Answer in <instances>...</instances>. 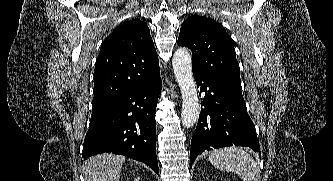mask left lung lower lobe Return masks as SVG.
I'll return each mask as SVG.
<instances>
[{
	"label": "left lung lower lobe",
	"mask_w": 333,
	"mask_h": 181,
	"mask_svg": "<svg viewBox=\"0 0 333 181\" xmlns=\"http://www.w3.org/2000/svg\"><path fill=\"white\" fill-rule=\"evenodd\" d=\"M197 86L205 92L196 132L191 140V166L197 156L213 148L246 146L260 153L255 126L243 97L224 83L193 72Z\"/></svg>",
	"instance_id": "obj_1"
}]
</instances>
